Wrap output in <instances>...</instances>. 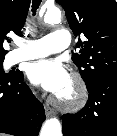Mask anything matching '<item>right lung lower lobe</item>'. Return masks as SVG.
I'll use <instances>...</instances> for the list:
<instances>
[{
	"label": "right lung lower lobe",
	"mask_w": 117,
	"mask_h": 136,
	"mask_svg": "<svg viewBox=\"0 0 117 136\" xmlns=\"http://www.w3.org/2000/svg\"><path fill=\"white\" fill-rule=\"evenodd\" d=\"M44 120V107L23 83L21 71L0 77V133L38 136Z\"/></svg>",
	"instance_id": "obj_1"
}]
</instances>
